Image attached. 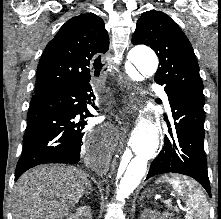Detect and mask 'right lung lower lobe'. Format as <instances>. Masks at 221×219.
Here are the masks:
<instances>
[{
    "label": "right lung lower lobe",
    "mask_w": 221,
    "mask_h": 219,
    "mask_svg": "<svg viewBox=\"0 0 221 219\" xmlns=\"http://www.w3.org/2000/svg\"><path fill=\"white\" fill-rule=\"evenodd\" d=\"M94 91L90 83L35 94L27 114L23 150L17 163L15 180L26 170L46 163L75 164L80 160L86 122L93 117L87 109ZM86 113L84 115L83 113ZM93 155L100 149L93 144Z\"/></svg>",
    "instance_id": "1"
}]
</instances>
